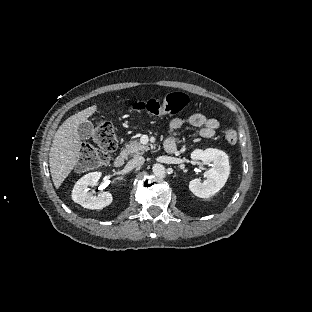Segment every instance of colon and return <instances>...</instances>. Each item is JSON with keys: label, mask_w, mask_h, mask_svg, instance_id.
Wrapping results in <instances>:
<instances>
[{"label": "colon", "mask_w": 312, "mask_h": 312, "mask_svg": "<svg viewBox=\"0 0 312 312\" xmlns=\"http://www.w3.org/2000/svg\"><path fill=\"white\" fill-rule=\"evenodd\" d=\"M187 104L183 92L169 93L161 100L157 98L145 99L135 103L132 109L136 112L149 113L158 117L181 111ZM93 138L98 149H86L81 152V164L96 167L107 163L118 145L114 125L110 120H100L93 129ZM225 139L229 145H235L238 137L233 129L225 131Z\"/></svg>", "instance_id": "1"}]
</instances>
